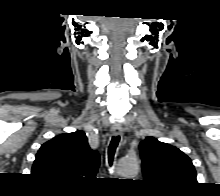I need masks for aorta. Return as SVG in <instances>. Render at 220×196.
I'll list each match as a JSON object with an SVG mask.
<instances>
[{"label":"aorta","mask_w":220,"mask_h":196,"mask_svg":"<svg viewBox=\"0 0 220 196\" xmlns=\"http://www.w3.org/2000/svg\"><path fill=\"white\" fill-rule=\"evenodd\" d=\"M139 170V164L136 160L122 159L117 166V172L122 177L134 176Z\"/></svg>","instance_id":"1"}]
</instances>
